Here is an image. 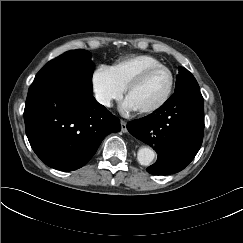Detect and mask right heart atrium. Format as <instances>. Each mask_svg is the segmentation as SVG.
<instances>
[{"label": "right heart atrium", "instance_id": "right-heart-atrium-1", "mask_svg": "<svg viewBox=\"0 0 243 243\" xmlns=\"http://www.w3.org/2000/svg\"><path fill=\"white\" fill-rule=\"evenodd\" d=\"M92 87L97 101L104 107H110L122 97L123 90L116 84L107 66L95 70Z\"/></svg>", "mask_w": 243, "mask_h": 243}]
</instances>
